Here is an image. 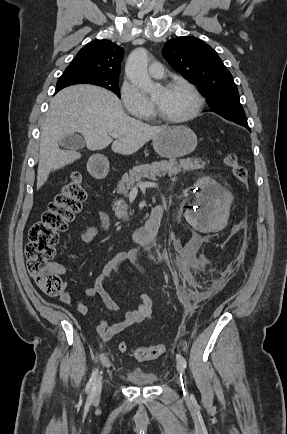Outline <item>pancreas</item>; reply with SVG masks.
<instances>
[{"label":"pancreas","mask_w":287,"mask_h":434,"mask_svg":"<svg viewBox=\"0 0 287 434\" xmlns=\"http://www.w3.org/2000/svg\"><path fill=\"white\" fill-rule=\"evenodd\" d=\"M206 162L199 159H181L176 161L171 159L169 161L153 162L151 164L140 165L132 168L129 173H126L117 185V191L120 194L127 196L129 190L134 186L135 182L140 181L143 178L156 180L159 176L168 174L169 176L176 175L181 171L196 170L204 168ZM128 204L124 200L120 199L114 202L113 211L118 218L128 220Z\"/></svg>","instance_id":"obj_1"}]
</instances>
